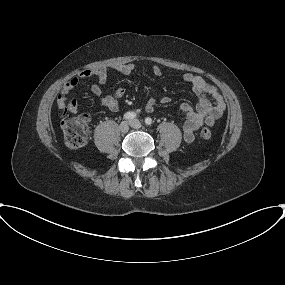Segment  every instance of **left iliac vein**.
I'll return each instance as SVG.
<instances>
[{"instance_id": "left-iliac-vein-1", "label": "left iliac vein", "mask_w": 285, "mask_h": 285, "mask_svg": "<svg viewBox=\"0 0 285 285\" xmlns=\"http://www.w3.org/2000/svg\"><path fill=\"white\" fill-rule=\"evenodd\" d=\"M130 125L134 129H139L141 127V122L137 119L131 120Z\"/></svg>"}]
</instances>
